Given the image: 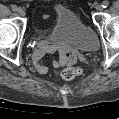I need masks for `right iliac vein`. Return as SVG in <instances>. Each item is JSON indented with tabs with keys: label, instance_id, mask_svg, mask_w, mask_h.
Returning a JSON list of instances; mask_svg holds the SVG:
<instances>
[{
	"label": "right iliac vein",
	"instance_id": "63e3f726",
	"mask_svg": "<svg viewBox=\"0 0 119 119\" xmlns=\"http://www.w3.org/2000/svg\"><path fill=\"white\" fill-rule=\"evenodd\" d=\"M18 13L20 16H24L25 15V11L22 8H18Z\"/></svg>",
	"mask_w": 119,
	"mask_h": 119
}]
</instances>
